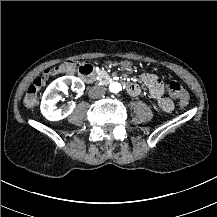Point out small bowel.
Returning <instances> with one entry per match:
<instances>
[{"instance_id": "c3829d8e", "label": "small bowel", "mask_w": 217, "mask_h": 217, "mask_svg": "<svg viewBox=\"0 0 217 217\" xmlns=\"http://www.w3.org/2000/svg\"><path fill=\"white\" fill-rule=\"evenodd\" d=\"M141 79L144 84L148 85L152 89L154 97L158 100V108L166 113L171 112L173 110V103L163 95V88L160 79L152 74H144L141 76ZM138 94L139 92L131 95L137 96Z\"/></svg>"}]
</instances>
